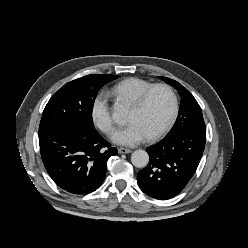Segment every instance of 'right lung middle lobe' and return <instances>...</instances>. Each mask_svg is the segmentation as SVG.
<instances>
[{"label":"right lung middle lobe","instance_id":"right-lung-middle-lobe-1","mask_svg":"<svg viewBox=\"0 0 248 248\" xmlns=\"http://www.w3.org/2000/svg\"><path fill=\"white\" fill-rule=\"evenodd\" d=\"M118 77L92 74L65 84L51 97L44 108L39 125V137L64 125L95 129L92 110L96 95L103 85Z\"/></svg>","mask_w":248,"mask_h":248}]
</instances>
